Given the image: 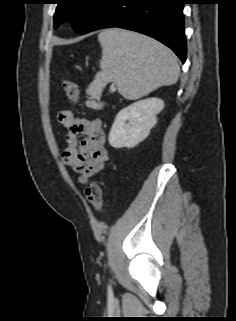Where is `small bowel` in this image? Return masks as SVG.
<instances>
[{
    "label": "small bowel",
    "mask_w": 236,
    "mask_h": 321,
    "mask_svg": "<svg viewBox=\"0 0 236 321\" xmlns=\"http://www.w3.org/2000/svg\"><path fill=\"white\" fill-rule=\"evenodd\" d=\"M57 121L67 131L64 163L81 175V181L102 174L108 153L100 121L77 117L70 109L60 111L57 114ZM78 135H83L85 138L78 142Z\"/></svg>",
    "instance_id": "obj_1"
}]
</instances>
